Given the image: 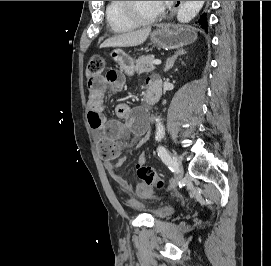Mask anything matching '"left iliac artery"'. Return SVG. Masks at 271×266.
<instances>
[{"mask_svg": "<svg viewBox=\"0 0 271 266\" xmlns=\"http://www.w3.org/2000/svg\"><path fill=\"white\" fill-rule=\"evenodd\" d=\"M157 151L162 161L169 167L170 170L174 171L176 169V164L171 158L168 150L164 146L159 145Z\"/></svg>", "mask_w": 271, "mask_h": 266, "instance_id": "obj_1", "label": "left iliac artery"}]
</instances>
